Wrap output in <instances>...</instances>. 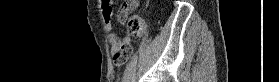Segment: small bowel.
<instances>
[{
    "mask_svg": "<svg viewBox=\"0 0 279 82\" xmlns=\"http://www.w3.org/2000/svg\"><path fill=\"white\" fill-rule=\"evenodd\" d=\"M103 18L106 23L108 30H112V9L111 6L107 3L104 5L103 8ZM109 42H110V53L114 58V64L116 66H121L124 64L128 59H125V55L123 49L129 44L128 40L121 39L114 33H110L109 35Z\"/></svg>",
    "mask_w": 279,
    "mask_h": 82,
    "instance_id": "small-bowel-1",
    "label": "small bowel"
}]
</instances>
